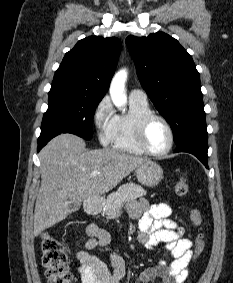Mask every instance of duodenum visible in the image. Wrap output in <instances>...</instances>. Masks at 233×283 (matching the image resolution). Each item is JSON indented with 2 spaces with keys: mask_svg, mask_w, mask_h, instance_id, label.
I'll list each match as a JSON object with an SVG mask.
<instances>
[{
  "mask_svg": "<svg viewBox=\"0 0 233 283\" xmlns=\"http://www.w3.org/2000/svg\"><path fill=\"white\" fill-rule=\"evenodd\" d=\"M102 207H103L102 200L96 198L89 199L85 203V211L91 215L99 213Z\"/></svg>",
  "mask_w": 233,
  "mask_h": 283,
  "instance_id": "410a0bca",
  "label": "duodenum"
}]
</instances>
